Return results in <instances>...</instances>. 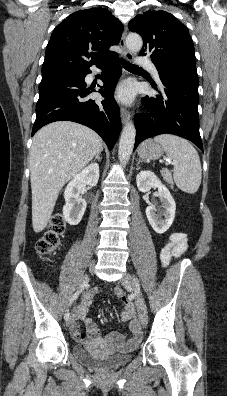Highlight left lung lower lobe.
I'll use <instances>...</instances> for the list:
<instances>
[{
    "label": "left lung lower lobe",
    "instance_id": "obj_1",
    "mask_svg": "<svg viewBox=\"0 0 227 396\" xmlns=\"http://www.w3.org/2000/svg\"><path fill=\"white\" fill-rule=\"evenodd\" d=\"M164 94L142 98L146 113L135 116V146L145 139L164 133L192 141L203 151L199 133L198 76L171 70H159Z\"/></svg>",
    "mask_w": 227,
    "mask_h": 396
}]
</instances>
